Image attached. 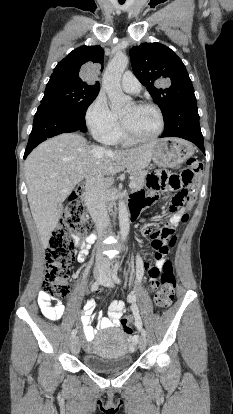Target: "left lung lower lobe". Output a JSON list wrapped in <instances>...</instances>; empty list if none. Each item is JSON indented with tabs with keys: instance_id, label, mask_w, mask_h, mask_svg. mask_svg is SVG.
Returning a JSON list of instances; mask_svg holds the SVG:
<instances>
[{
	"instance_id": "0a47b994",
	"label": "left lung lower lobe",
	"mask_w": 233,
	"mask_h": 414,
	"mask_svg": "<svg viewBox=\"0 0 233 414\" xmlns=\"http://www.w3.org/2000/svg\"><path fill=\"white\" fill-rule=\"evenodd\" d=\"M164 123L161 137L186 139L193 142L205 154L196 99L185 100L178 104L164 119Z\"/></svg>"
}]
</instances>
